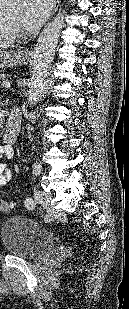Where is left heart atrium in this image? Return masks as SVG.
<instances>
[{"instance_id": "obj_1", "label": "left heart atrium", "mask_w": 129, "mask_h": 309, "mask_svg": "<svg viewBox=\"0 0 129 309\" xmlns=\"http://www.w3.org/2000/svg\"><path fill=\"white\" fill-rule=\"evenodd\" d=\"M52 0H24L21 23L26 30H36L47 19Z\"/></svg>"}]
</instances>
